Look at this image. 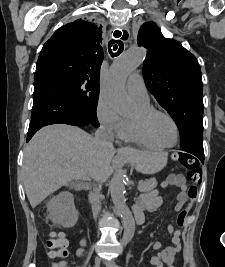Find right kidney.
<instances>
[{
    "mask_svg": "<svg viewBox=\"0 0 225 267\" xmlns=\"http://www.w3.org/2000/svg\"><path fill=\"white\" fill-rule=\"evenodd\" d=\"M52 222L65 228L73 227L78 220L74 198L70 192H61L53 197L47 205Z\"/></svg>",
    "mask_w": 225,
    "mask_h": 267,
    "instance_id": "right-kidney-1",
    "label": "right kidney"
}]
</instances>
